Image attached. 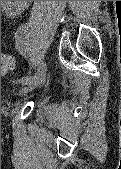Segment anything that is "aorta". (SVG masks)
<instances>
[{
    "instance_id": "obj_1",
    "label": "aorta",
    "mask_w": 121,
    "mask_h": 169,
    "mask_svg": "<svg viewBox=\"0 0 121 169\" xmlns=\"http://www.w3.org/2000/svg\"><path fill=\"white\" fill-rule=\"evenodd\" d=\"M6 2H7V1H1V3H3V4L6 3Z\"/></svg>"
}]
</instances>
